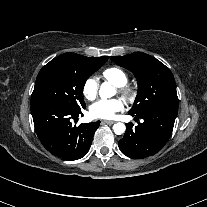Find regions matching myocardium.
<instances>
[{"label": "myocardium", "mask_w": 207, "mask_h": 207, "mask_svg": "<svg viewBox=\"0 0 207 207\" xmlns=\"http://www.w3.org/2000/svg\"><path fill=\"white\" fill-rule=\"evenodd\" d=\"M122 98L129 104L136 100L137 92L132 87L124 86L120 89Z\"/></svg>", "instance_id": "f54148a6"}]
</instances>
